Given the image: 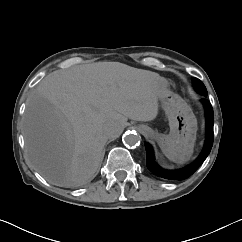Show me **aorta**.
Returning <instances> with one entry per match:
<instances>
[{"label":"aorta","mask_w":242,"mask_h":242,"mask_svg":"<svg viewBox=\"0 0 242 242\" xmlns=\"http://www.w3.org/2000/svg\"><path fill=\"white\" fill-rule=\"evenodd\" d=\"M123 143L129 147H136L140 144V136L134 132H126L123 136Z\"/></svg>","instance_id":"obj_1"}]
</instances>
